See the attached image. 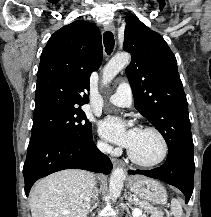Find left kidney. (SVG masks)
Masks as SVG:
<instances>
[{
    "label": "left kidney",
    "mask_w": 211,
    "mask_h": 217,
    "mask_svg": "<svg viewBox=\"0 0 211 217\" xmlns=\"http://www.w3.org/2000/svg\"><path fill=\"white\" fill-rule=\"evenodd\" d=\"M132 216L133 217H146L145 215L142 214V211L139 208H134L132 210Z\"/></svg>",
    "instance_id": "obj_1"
}]
</instances>
